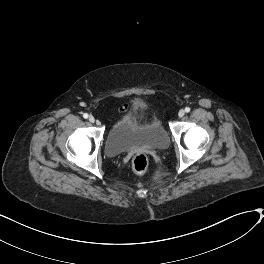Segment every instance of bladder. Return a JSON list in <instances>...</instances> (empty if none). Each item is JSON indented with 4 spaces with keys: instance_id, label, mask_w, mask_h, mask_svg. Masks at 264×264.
<instances>
[{
    "instance_id": "1",
    "label": "bladder",
    "mask_w": 264,
    "mask_h": 264,
    "mask_svg": "<svg viewBox=\"0 0 264 264\" xmlns=\"http://www.w3.org/2000/svg\"><path fill=\"white\" fill-rule=\"evenodd\" d=\"M168 146L169 136L160 121L138 114L125 116L113 125L105 141V152L116 157L134 148L166 150Z\"/></svg>"
}]
</instances>
